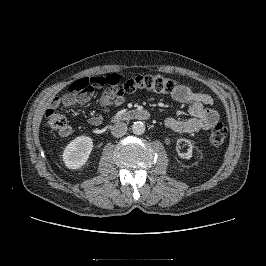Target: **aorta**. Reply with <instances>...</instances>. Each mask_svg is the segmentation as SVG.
<instances>
[{
    "label": "aorta",
    "instance_id": "aorta-1",
    "mask_svg": "<svg viewBox=\"0 0 266 266\" xmlns=\"http://www.w3.org/2000/svg\"><path fill=\"white\" fill-rule=\"evenodd\" d=\"M132 131L136 135H141L145 132V124L141 121H136L132 125Z\"/></svg>",
    "mask_w": 266,
    "mask_h": 266
}]
</instances>
